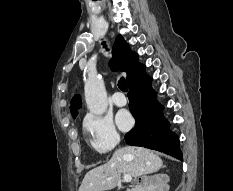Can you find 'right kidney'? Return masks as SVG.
<instances>
[{"instance_id":"right-kidney-1","label":"right kidney","mask_w":233,"mask_h":191,"mask_svg":"<svg viewBox=\"0 0 233 191\" xmlns=\"http://www.w3.org/2000/svg\"><path fill=\"white\" fill-rule=\"evenodd\" d=\"M170 178L167 174H157L150 178L149 185L145 191H168Z\"/></svg>"}]
</instances>
